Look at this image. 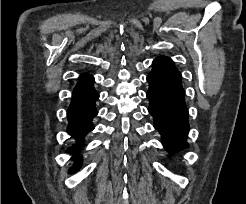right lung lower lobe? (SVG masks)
<instances>
[{"label":"right lung lower lobe","mask_w":246,"mask_h":204,"mask_svg":"<svg viewBox=\"0 0 246 204\" xmlns=\"http://www.w3.org/2000/svg\"><path fill=\"white\" fill-rule=\"evenodd\" d=\"M94 78L88 74H83L73 91L72 102L68 109V128L67 131L79 142L74 146L82 144L83 137L93 130L92 118L97 115L95 101L99 98L98 93L93 87ZM81 166L80 157H75V165L69 172L77 171Z\"/></svg>","instance_id":"obj_1"}]
</instances>
